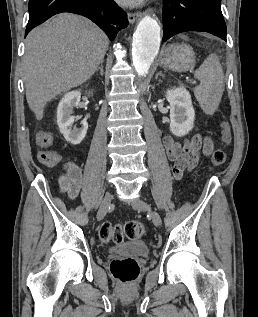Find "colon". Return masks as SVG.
Returning a JSON list of instances; mask_svg holds the SVG:
<instances>
[{
  "label": "colon",
  "instance_id": "1",
  "mask_svg": "<svg viewBox=\"0 0 258 317\" xmlns=\"http://www.w3.org/2000/svg\"><path fill=\"white\" fill-rule=\"evenodd\" d=\"M220 138L224 145L231 142L232 134L228 122L220 124ZM227 154L223 149H216L211 156V166L219 167L225 163ZM38 160L46 166H55L61 156L57 151L41 149ZM145 234V226L138 221H129L125 224H112L104 222L99 228V237L105 243H121L125 238L140 239ZM113 277L122 284H129L137 279L140 268L136 260L131 258L113 259L110 264Z\"/></svg>",
  "mask_w": 258,
  "mask_h": 317
}]
</instances>
